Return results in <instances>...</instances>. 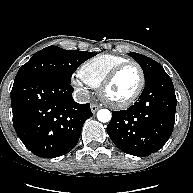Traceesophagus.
<instances>
[{
  "label": "esophagus",
  "instance_id": "34e87169",
  "mask_svg": "<svg viewBox=\"0 0 193 193\" xmlns=\"http://www.w3.org/2000/svg\"><path fill=\"white\" fill-rule=\"evenodd\" d=\"M100 107L96 104H91V111L95 113Z\"/></svg>",
  "mask_w": 193,
  "mask_h": 193
}]
</instances>
